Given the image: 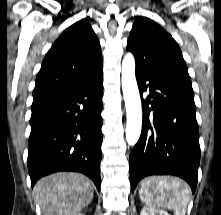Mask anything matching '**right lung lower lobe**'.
Segmentation results:
<instances>
[{"instance_id": "1", "label": "right lung lower lobe", "mask_w": 221, "mask_h": 215, "mask_svg": "<svg viewBox=\"0 0 221 215\" xmlns=\"http://www.w3.org/2000/svg\"><path fill=\"white\" fill-rule=\"evenodd\" d=\"M103 77L32 107L28 145L31 186L58 171L81 172L100 190Z\"/></svg>"}]
</instances>
